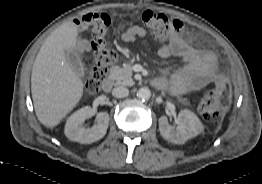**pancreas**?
I'll list each match as a JSON object with an SVG mask.
<instances>
[{"mask_svg": "<svg viewBox=\"0 0 262 184\" xmlns=\"http://www.w3.org/2000/svg\"><path fill=\"white\" fill-rule=\"evenodd\" d=\"M110 78L115 81L116 85L131 86L134 84L132 79V66L130 63L124 64L123 67L113 66L110 69Z\"/></svg>", "mask_w": 262, "mask_h": 184, "instance_id": "obj_1", "label": "pancreas"}]
</instances>
